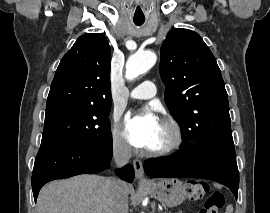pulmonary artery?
I'll use <instances>...</instances> for the list:
<instances>
[{
	"instance_id": "1",
	"label": "pulmonary artery",
	"mask_w": 270,
	"mask_h": 213,
	"mask_svg": "<svg viewBox=\"0 0 270 213\" xmlns=\"http://www.w3.org/2000/svg\"><path fill=\"white\" fill-rule=\"evenodd\" d=\"M155 93V83L150 80H146L130 92V97L132 99H150L154 97Z\"/></svg>"
}]
</instances>
